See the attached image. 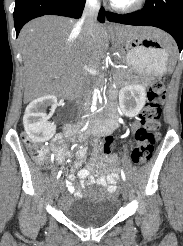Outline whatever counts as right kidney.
I'll return each mask as SVG.
<instances>
[{
    "label": "right kidney",
    "mask_w": 183,
    "mask_h": 246,
    "mask_svg": "<svg viewBox=\"0 0 183 246\" xmlns=\"http://www.w3.org/2000/svg\"><path fill=\"white\" fill-rule=\"evenodd\" d=\"M57 99L46 95L32 101L25 110L23 124L29 138L37 143L48 141L56 131L54 123L47 121L45 113L48 106H56Z\"/></svg>",
    "instance_id": "obj_1"
}]
</instances>
